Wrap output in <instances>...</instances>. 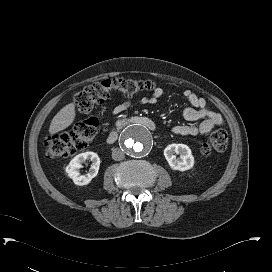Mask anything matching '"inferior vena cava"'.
<instances>
[{"instance_id": "602c4592", "label": "inferior vena cava", "mask_w": 272, "mask_h": 272, "mask_svg": "<svg viewBox=\"0 0 272 272\" xmlns=\"http://www.w3.org/2000/svg\"><path fill=\"white\" fill-rule=\"evenodd\" d=\"M125 157L124 155V152L119 149V148H114L112 150V158L115 160V161H120V160H123Z\"/></svg>"}]
</instances>
